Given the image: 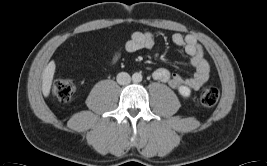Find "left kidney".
<instances>
[{"mask_svg":"<svg viewBox=\"0 0 267 166\" xmlns=\"http://www.w3.org/2000/svg\"><path fill=\"white\" fill-rule=\"evenodd\" d=\"M178 91L185 98L189 97L191 94V90L187 86H180Z\"/></svg>","mask_w":267,"mask_h":166,"instance_id":"1","label":"left kidney"}]
</instances>
